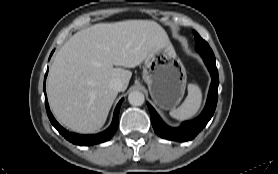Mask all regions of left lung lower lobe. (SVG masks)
Here are the masks:
<instances>
[{
  "label": "left lung lower lobe",
  "mask_w": 278,
  "mask_h": 174,
  "mask_svg": "<svg viewBox=\"0 0 278 174\" xmlns=\"http://www.w3.org/2000/svg\"><path fill=\"white\" fill-rule=\"evenodd\" d=\"M201 55L211 74L212 82L210 85L206 106L202 111V113L196 119L192 121L183 122L181 126L178 128H172L167 126L161 120V118L153 109V107L149 103H147L150 116H151L152 126L155 132L157 133V135H159L162 138L168 140L180 141V142L192 140L206 126V124L209 122V120L214 114L217 105V99H218L217 90L219 84L216 61H215V57H211L203 54Z\"/></svg>",
  "instance_id": "0a47b994"
}]
</instances>
